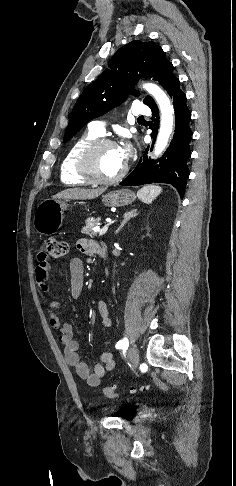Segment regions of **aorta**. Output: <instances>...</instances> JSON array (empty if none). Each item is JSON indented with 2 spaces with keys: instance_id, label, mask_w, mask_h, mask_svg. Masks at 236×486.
<instances>
[{
  "instance_id": "762f6f07",
  "label": "aorta",
  "mask_w": 236,
  "mask_h": 486,
  "mask_svg": "<svg viewBox=\"0 0 236 486\" xmlns=\"http://www.w3.org/2000/svg\"><path fill=\"white\" fill-rule=\"evenodd\" d=\"M144 88L155 98L161 112V123L155 144L154 155L159 156L166 148L173 130V106L167 95L155 84H145Z\"/></svg>"
}]
</instances>
